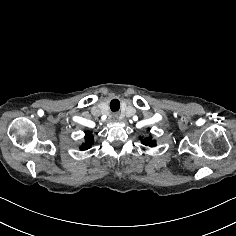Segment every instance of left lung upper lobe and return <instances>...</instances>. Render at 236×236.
<instances>
[{
	"label": "left lung upper lobe",
	"mask_w": 236,
	"mask_h": 236,
	"mask_svg": "<svg viewBox=\"0 0 236 236\" xmlns=\"http://www.w3.org/2000/svg\"><path fill=\"white\" fill-rule=\"evenodd\" d=\"M142 143L150 147L156 146V141L152 140L151 137L142 139Z\"/></svg>",
	"instance_id": "obj_1"
}]
</instances>
